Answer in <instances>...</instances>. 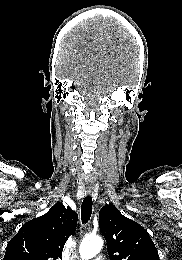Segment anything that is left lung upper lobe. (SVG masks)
I'll list each match as a JSON object with an SVG mask.
<instances>
[{
	"instance_id": "obj_1",
	"label": "left lung upper lobe",
	"mask_w": 182,
	"mask_h": 260,
	"mask_svg": "<svg viewBox=\"0 0 182 260\" xmlns=\"http://www.w3.org/2000/svg\"><path fill=\"white\" fill-rule=\"evenodd\" d=\"M99 220L110 260H160L147 230L123 216L113 204L102 207Z\"/></svg>"
}]
</instances>
